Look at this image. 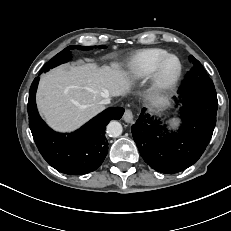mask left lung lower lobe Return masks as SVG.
<instances>
[{
	"instance_id": "left-lung-lower-lobe-1",
	"label": "left lung lower lobe",
	"mask_w": 231,
	"mask_h": 231,
	"mask_svg": "<svg viewBox=\"0 0 231 231\" xmlns=\"http://www.w3.org/2000/svg\"><path fill=\"white\" fill-rule=\"evenodd\" d=\"M182 125L170 133L166 125L145 112L132 125V136L144 161L153 169L174 174L193 165L213 134L218 109L217 95L199 90L178 91ZM176 107L179 103L176 97Z\"/></svg>"
}]
</instances>
